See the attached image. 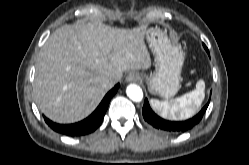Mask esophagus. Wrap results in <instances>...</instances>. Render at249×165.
Instances as JSON below:
<instances>
[{
	"label": "esophagus",
	"instance_id": "34e87169",
	"mask_svg": "<svg viewBox=\"0 0 249 165\" xmlns=\"http://www.w3.org/2000/svg\"><path fill=\"white\" fill-rule=\"evenodd\" d=\"M126 81L127 82H137V81H139V75L136 73H130L126 77Z\"/></svg>",
	"mask_w": 249,
	"mask_h": 165
}]
</instances>
